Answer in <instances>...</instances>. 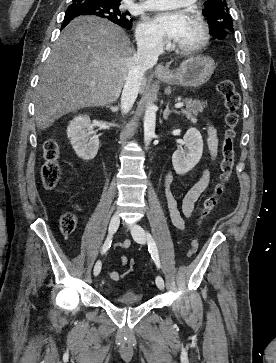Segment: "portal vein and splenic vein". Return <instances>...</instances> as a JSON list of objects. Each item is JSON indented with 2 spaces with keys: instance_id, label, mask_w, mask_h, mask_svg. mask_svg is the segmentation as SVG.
<instances>
[{
  "instance_id": "obj_1",
  "label": "portal vein and splenic vein",
  "mask_w": 276,
  "mask_h": 363,
  "mask_svg": "<svg viewBox=\"0 0 276 363\" xmlns=\"http://www.w3.org/2000/svg\"><path fill=\"white\" fill-rule=\"evenodd\" d=\"M183 106H184V104L182 102H178L175 104V108H181Z\"/></svg>"
}]
</instances>
